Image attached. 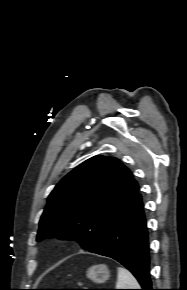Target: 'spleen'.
Wrapping results in <instances>:
<instances>
[{"mask_svg": "<svg viewBox=\"0 0 187 290\" xmlns=\"http://www.w3.org/2000/svg\"><path fill=\"white\" fill-rule=\"evenodd\" d=\"M140 285L135 277L123 267H118L116 289H139Z\"/></svg>", "mask_w": 187, "mask_h": 290, "instance_id": "spleen-1", "label": "spleen"}]
</instances>
